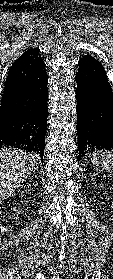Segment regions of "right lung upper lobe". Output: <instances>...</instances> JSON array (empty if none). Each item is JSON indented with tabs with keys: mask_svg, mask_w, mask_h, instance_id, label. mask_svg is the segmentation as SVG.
<instances>
[{
	"mask_svg": "<svg viewBox=\"0 0 113 279\" xmlns=\"http://www.w3.org/2000/svg\"><path fill=\"white\" fill-rule=\"evenodd\" d=\"M39 48L25 50L12 64L6 78L0 108L44 66Z\"/></svg>",
	"mask_w": 113,
	"mask_h": 279,
	"instance_id": "obj_1",
	"label": "right lung upper lobe"
}]
</instances>
